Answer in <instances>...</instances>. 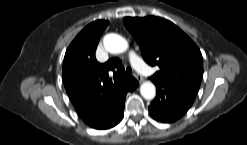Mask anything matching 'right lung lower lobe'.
<instances>
[{
    "label": "right lung lower lobe",
    "instance_id": "right-lung-lower-lobe-1",
    "mask_svg": "<svg viewBox=\"0 0 247 145\" xmlns=\"http://www.w3.org/2000/svg\"><path fill=\"white\" fill-rule=\"evenodd\" d=\"M138 81L131 77L123 86L119 100L115 106V109L107 113L92 123L88 124L90 127L99 129V130H104V129H109L111 127H114L117 125L123 117V109H124V102L126 98L127 92H132L137 86H138Z\"/></svg>",
    "mask_w": 247,
    "mask_h": 145
}]
</instances>
